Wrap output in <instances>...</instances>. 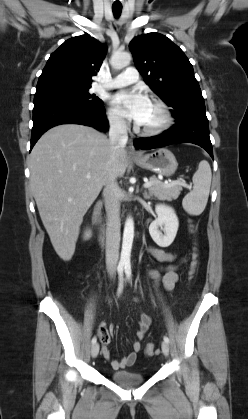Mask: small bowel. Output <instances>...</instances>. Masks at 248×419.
Wrapping results in <instances>:
<instances>
[{"label": "small bowel", "mask_w": 248, "mask_h": 419, "mask_svg": "<svg viewBox=\"0 0 248 419\" xmlns=\"http://www.w3.org/2000/svg\"><path fill=\"white\" fill-rule=\"evenodd\" d=\"M148 251L156 260L165 264V266L161 269L151 271V275L158 283H161L167 290H172L178 281V274L176 271L177 265L174 264L176 260V255L172 252L156 247H150ZM151 322L152 319L149 315L145 313L140 314L139 329L136 332L137 339L133 342L132 351L121 359L113 360L111 362V366L113 369H123L125 367L132 366L135 363L137 354L142 350V340L144 339L145 334L151 325ZM101 329L106 331L105 337L101 339V352L105 358L109 359L110 350L108 345L113 336V329L111 327H106L104 324H101Z\"/></svg>", "instance_id": "1"}]
</instances>
